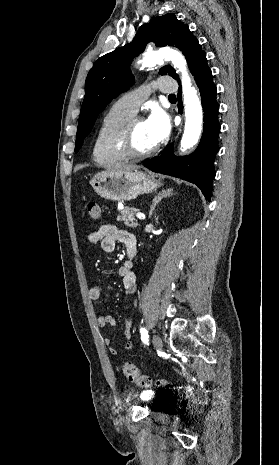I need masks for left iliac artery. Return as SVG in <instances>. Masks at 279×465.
<instances>
[{
    "label": "left iliac artery",
    "instance_id": "1",
    "mask_svg": "<svg viewBox=\"0 0 279 465\" xmlns=\"http://www.w3.org/2000/svg\"><path fill=\"white\" fill-rule=\"evenodd\" d=\"M140 332H141V340H142V342L144 344H146V345H149V339H148L149 335L147 333V330L145 328H141Z\"/></svg>",
    "mask_w": 279,
    "mask_h": 465
}]
</instances>
